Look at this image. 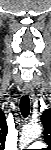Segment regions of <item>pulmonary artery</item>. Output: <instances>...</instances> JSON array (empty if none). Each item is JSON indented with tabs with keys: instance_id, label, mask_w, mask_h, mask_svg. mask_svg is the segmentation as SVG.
Returning <instances> with one entry per match:
<instances>
[{
	"instance_id": "pulmonary-artery-1",
	"label": "pulmonary artery",
	"mask_w": 51,
	"mask_h": 150,
	"mask_svg": "<svg viewBox=\"0 0 51 150\" xmlns=\"http://www.w3.org/2000/svg\"><path fill=\"white\" fill-rule=\"evenodd\" d=\"M43 146V144L42 143H40V142H35L34 144H32V145H30L29 146V148H41Z\"/></svg>"
}]
</instances>
